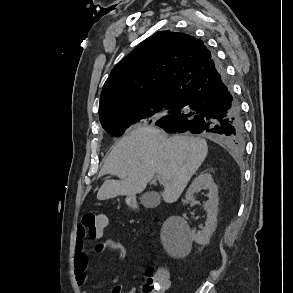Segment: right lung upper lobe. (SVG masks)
Listing matches in <instances>:
<instances>
[{
	"mask_svg": "<svg viewBox=\"0 0 293 293\" xmlns=\"http://www.w3.org/2000/svg\"><path fill=\"white\" fill-rule=\"evenodd\" d=\"M213 57L193 36L171 31L153 34L111 71L100 97V119L176 99Z\"/></svg>",
	"mask_w": 293,
	"mask_h": 293,
	"instance_id": "right-lung-upper-lobe-1",
	"label": "right lung upper lobe"
}]
</instances>
